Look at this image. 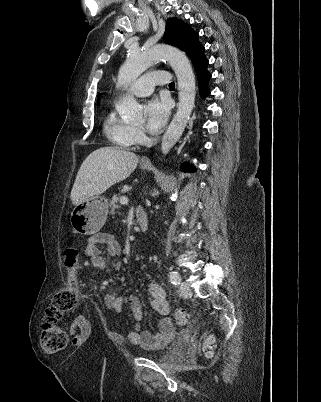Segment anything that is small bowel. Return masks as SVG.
Masks as SVG:
<instances>
[{
    "mask_svg": "<svg viewBox=\"0 0 321 402\" xmlns=\"http://www.w3.org/2000/svg\"><path fill=\"white\" fill-rule=\"evenodd\" d=\"M102 244L107 245L108 253L111 256L117 257L121 254V245L113 234H95L88 240L86 254L89 257L90 265L97 270H106L108 268L107 261L102 255ZM113 266L116 270L121 269L120 262H115ZM148 291L150 294V308L158 315L163 316L159 322L158 332L151 333L140 330V322L143 319L142 304L137 296L130 295L129 304L136 320V330L131 331L128 334V338L133 344L140 345L144 348H156L172 339L174 329L172 320L167 317L169 306L162 287L156 282H151L148 286ZM104 301L106 306L115 312L120 313L122 311L123 297L117 291L106 293ZM69 331L73 335L74 345H79L89 335L90 327L82 316H77L71 323Z\"/></svg>",
    "mask_w": 321,
    "mask_h": 402,
    "instance_id": "obj_1",
    "label": "small bowel"
}]
</instances>
